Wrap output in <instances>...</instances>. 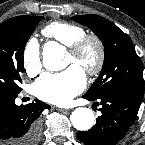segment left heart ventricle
I'll return each mask as SVG.
<instances>
[{"instance_id": "b2bd125f", "label": "left heart ventricle", "mask_w": 145, "mask_h": 145, "mask_svg": "<svg viewBox=\"0 0 145 145\" xmlns=\"http://www.w3.org/2000/svg\"><path fill=\"white\" fill-rule=\"evenodd\" d=\"M96 49L93 45L89 44L86 46L85 50L83 51L82 55L79 59H75L70 53L67 57L66 65H78L80 68L83 69L84 66H92L96 62Z\"/></svg>"}]
</instances>
